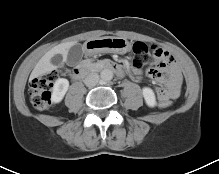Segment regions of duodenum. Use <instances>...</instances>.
<instances>
[{
  "instance_id": "duodenum-1",
  "label": "duodenum",
  "mask_w": 219,
  "mask_h": 174,
  "mask_svg": "<svg viewBox=\"0 0 219 174\" xmlns=\"http://www.w3.org/2000/svg\"><path fill=\"white\" fill-rule=\"evenodd\" d=\"M96 70H111L118 75L123 73L122 68L113 61H101L95 64H87L74 68L71 71V76L75 79L83 78Z\"/></svg>"
}]
</instances>
